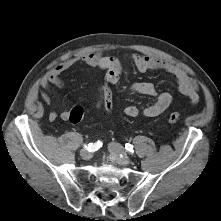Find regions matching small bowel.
Returning a JSON list of instances; mask_svg holds the SVG:
<instances>
[{
	"label": "small bowel",
	"instance_id": "1",
	"mask_svg": "<svg viewBox=\"0 0 221 221\" xmlns=\"http://www.w3.org/2000/svg\"><path fill=\"white\" fill-rule=\"evenodd\" d=\"M126 57L140 73H146L150 70H163L172 74L179 91L189 99L190 103L195 105L199 102V85L190 79L181 68L157 57L137 53L127 54ZM78 62H84L89 69H100L103 71L104 67L108 66L112 68L114 73L113 77L108 79L103 76V82L98 88L97 106L102 108L104 96L102 92L103 86L107 84L113 86L118 83L123 71V64L118 58L104 54L100 51L70 57L58 62L53 66V68L44 76L41 82L40 95L47 105L51 104V98L49 96L51 87L55 86L58 88H63L65 86V82L60 75ZM129 91L134 94L148 95L156 99L153 104L142 109L135 105L126 106L124 113L130 118H135L140 114L145 117H157L162 114L172 103V95L170 92L158 91L156 87L149 82L133 83L130 86ZM69 113V109L63 110L60 113L57 111H52L49 114V119L54 121L60 117L62 120H68Z\"/></svg>",
	"mask_w": 221,
	"mask_h": 221
}]
</instances>
